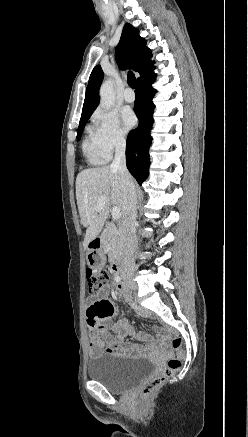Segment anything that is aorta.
<instances>
[{"label":"aorta","instance_id":"obj_1","mask_svg":"<svg viewBox=\"0 0 248 437\" xmlns=\"http://www.w3.org/2000/svg\"><path fill=\"white\" fill-rule=\"evenodd\" d=\"M100 105L105 109H110L115 103V94L111 80L105 81L100 88Z\"/></svg>","mask_w":248,"mask_h":437}]
</instances>
